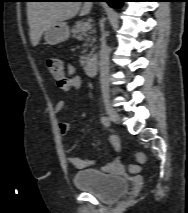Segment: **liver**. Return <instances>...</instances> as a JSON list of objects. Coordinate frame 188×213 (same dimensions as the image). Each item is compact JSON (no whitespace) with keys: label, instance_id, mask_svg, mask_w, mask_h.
Returning a JSON list of instances; mask_svg holds the SVG:
<instances>
[{"label":"liver","instance_id":"liver-1","mask_svg":"<svg viewBox=\"0 0 188 213\" xmlns=\"http://www.w3.org/2000/svg\"><path fill=\"white\" fill-rule=\"evenodd\" d=\"M91 2L77 1H35L27 3V17L30 27V40L35 47L39 44L45 29L51 25L71 19L78 14H88Z\"/></svg>","mask_w":188,"mask_h":213}]
</instances>
